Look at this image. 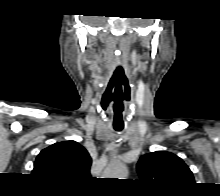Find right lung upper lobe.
Wrapping results in <instances>:
<instances>
[{"label": "right lung upper lobe", "instance_id": "cb5924a9", "mask_svg": "<svg viewBox=\"0 0 220 196\" xmlns=\"http://www.w3.org/2000/svg\"><path fill=\"white\" fill-rule=\"evenodd\" d=\"M91 157L79 143H55L36 158L32 174L50 182L73 185L90 178Z\"/></svg>", "mask_w": 220, "mask_h": 196}]
</instances>
